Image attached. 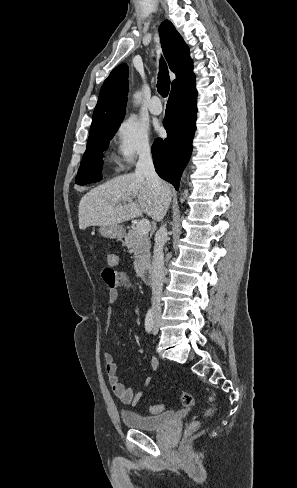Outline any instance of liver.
I'll use <instances>...</instances> for the list:
<instances>
[{"instance_id": "6515ba94", "label": "liver", "mask_w": 297, "mask_h": 488, "mask_svg": "<svg viewBox=\"0 0 297 488\" xmlns=\"http://www.w3.org/2000/svg\"><path fill=\"white\" fill-rule=\"evenodd\" d=\"M172 188L165 184L156 190L143 175L129 173L115 177L85 194L79 203V228L114 226L145 213L161 221L166 213V200H171ZM137 199L127 204V199Z\"/></svg>"}]
</instances>
